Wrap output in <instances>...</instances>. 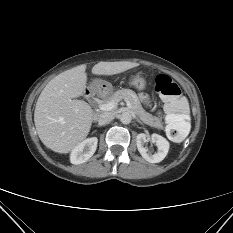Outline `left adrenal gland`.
Returning <instances> with one entry per match:
<instances>
[{"instance_id": "left-adrenal-gland-1", "label": "left adrenal gland", "mask_w": 233, "mask_h": 233, "mask_svg": "<svg viewBox=\"0 0 233 233\" xmlns=\"http://www.w3.org/2000/svg\"><path fill=\"white\" fill-rule=\"evenodd\" d=\"M138 123L142 124V122L140 120H137Z\"/></svg>"}]
</instances>
